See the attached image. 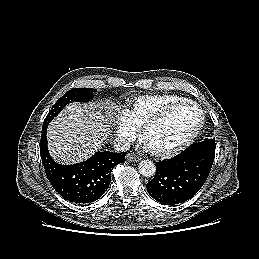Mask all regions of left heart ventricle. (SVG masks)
<instances>
[{
    "label": "left heart ventricle",
    "instance_id": "left-heart-ventricle-1",
    "mask_svg": "<svg viewBox=\"0 0 259 259\" xmlns=\"http://www.w3.org/2000/svg\"><path fill=\"white\" fill-rule=\"evenodd\" d=\"M199 119L200 114L195 107L184 106L179 108L151 129L149 141L154 146L175 144L194 130Z\"/></svg>",
    "mask_w": 259,
    "mask_h": 259
}]
</instances>
